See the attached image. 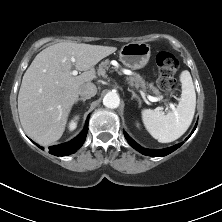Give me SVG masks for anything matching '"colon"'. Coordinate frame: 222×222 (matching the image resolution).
Segmentation results:
<instances>
[{
	"instance_id": "1",
	"label": "colon",
	"mask_w": 222,
	"mask_h": 222,
	"mask_svg": "<svg viewBox=\"0 0 222 222\" xmlns=\"http://www.w3.org/2000/svg\"><path fill=\"white\" fill-rule=\"evenodd\" d=\"M155 62L158 70V88L166 93H172L176 88L175 74L179 68V62L174 55L168 52H159Z\"/></svg>"
}]
</instances>
